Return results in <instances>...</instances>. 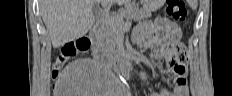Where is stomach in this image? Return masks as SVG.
Instances as JSON below:
<instances>
[{
	"label": "stomach",
	"instance_id": "1",
	"mask_svg": "<svg viewBox=\"0 0 232 96\" xmlns=\"http://www.w3.org/2000/svg\"><path fill=\"white\" fill-rule=\"evenodd\" d=\"M164 0H142L145 10L155 11L162 6Z\"/></svg>",
	"mask_w": 232,
	"mask_h": 96
}]
</instances>
